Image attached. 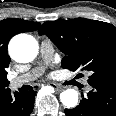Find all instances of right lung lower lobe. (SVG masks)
I'll return each instance as SVG.
<instances>
[{"label": "right lung lower lobe", "mask_w": 116, "mask_h": 116, "mask_svg": "<svg viewBox=\"0 0 116 116\" xmlns=\"http://www.w3.org/2000/svg\"><path fill=\"white\" fill-rule=\"evenodd\" d=\"M35 93L32 90L11 95L9 89L0 95V116H29L34 108Z\"/></svg>", "instance_id": "1"}]
</instances>
